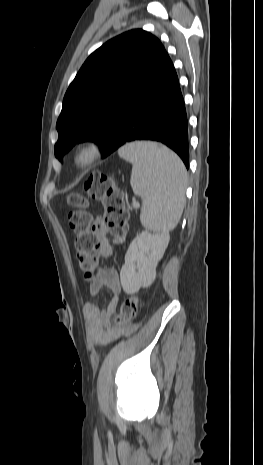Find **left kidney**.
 <instances>
[{"label":"left kidney","mask_w":263,"mask_h":465,"mask_svg":"<svg viewBox=\"0 0 263 465\" xmlns=\"http://www.w3.org/2000/svg\"><path fill=\"white\" fill-rule=\"evenodd\" d=\"M169 234H151L145 230L131 242L125 255L120 280L126 294H135L148 288L156 278V267L168 243Z\"/></svg>","instance_id":"left-kidney-1"}]
</instances>
